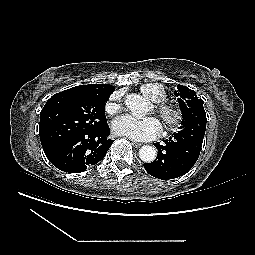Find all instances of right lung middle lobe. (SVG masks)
<instances>
[{"label":"right lung middle lobe","instance_id":"right-lung-middle-lobe-1","mask_svg":"<svg viewBox=\"0 0 255 255\" xmlns=\"http://www.w3.org/2000/svg\"><path fill=\"white\" fill-rule=\"evenodd\" d=\"M108 94L60 92L45 104L39 134L46 156L55 155L72 137L102 128Z\"/></svg>","mask_w":255,"mask_h":255}]
</instances>
